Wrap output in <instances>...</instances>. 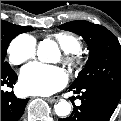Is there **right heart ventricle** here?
I'll use <instances>...</instances> for the list:
<instances>
[{
  "label": "right heart ventricle",
  "instance_id": "1",
  "mask_svg": "<svg viewBox=\"0 0 121 121\" xmlns=\"http://www.w3.org/2000/svg\"><path fill=\"white\" fill-rule=\"evenodd\" d=\"M54 38L57 40L60 47L66 52H76L80 49L78 40L69 34H55Z\"/></svg>",
  "mask_w": 121,
  "mask_h": 121
}]
</instances>
